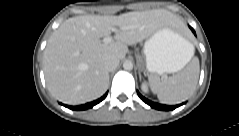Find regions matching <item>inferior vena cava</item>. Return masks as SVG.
<instances>
[{
  "mask_svg": "<svg viewBox=\"0 0 239 136\" xmlns=\"http://www.w3.org/2000/svg\"><path fill=\"white\" fill-rule=\"evenodd\" d=\"M102 64H103V67L108 72H111V71L115 70L118 67L119 59H117L115 57L105 58V59H103Z\"/></svg>",
  "mask_w": 239,
  "mask_h": 136,
  "instance_id": "inferior-vena-cava-1",
  "label": "inferior vena cava"
}]
</instances>
